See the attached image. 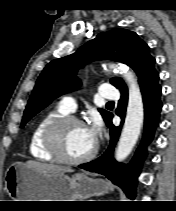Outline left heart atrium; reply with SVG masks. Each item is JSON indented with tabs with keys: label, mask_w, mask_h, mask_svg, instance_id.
I'll return each mask as SVG.
<instances>
[{
	"label": "left heart atrium",
	"mask_w": 176,
	"mask_h": 211,
	"mask_svg": "<svg viewBox=\"0 0 176 211\" xmlns=\"http://www.w3.org/2000/svg\"><path fill=\"white\" fill-rule=\"evenodd\" d=\"M89 135L96 142L101 135L102 124L99 120H95L93 124L87 127Z\"/></svg>",
	"instance_id": "left-heart-atrium-1"
}]
</instances>
